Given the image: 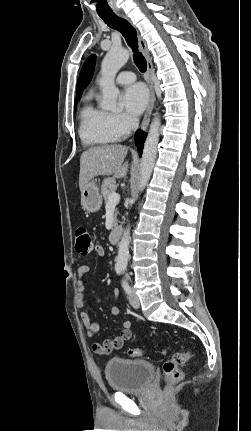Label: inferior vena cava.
I'll list each match as a JSON object with an SVG mask.
<instances>
[{
	"label": "inferior vena cava",
	"instance_id": "1",
	"mask_svg": "<svg viewBox=\"0 0 251 431\" xmlns=\"http://www.w3.org/2000/svg\"><path fill=\"white\" fill-rule=\"evenodd\" d=\"M138 125H139V123H138V119H137V118H135V117H132V118L130 119V126H131V128H132L133 130H135V129H137V128H138ZM127 277H128V275H127Z\"/></svg>",
	"mask_w": 251,
	"mask_h": 431
}]
</instances>
